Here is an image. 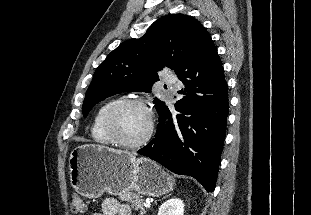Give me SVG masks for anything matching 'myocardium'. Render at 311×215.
I'll return each instance as SVG.
<instances>
[{"label":"myocardium","instance_id":"f54148a6","mask_svg":"<svg viewBox=\"0 0 311 215\" xmlns=\"http://www.w3.org/2000/svg\"><path fill=\"white\" fill-rule=\"evenodd\" d=\"M128 106H139L146 110L148 114V129L143 138L136 142H128L124 140L118 130L117 121L120 112ZM105 130L113 140V142L119 146L137 149L144 146L152 137L154 130V122L151 108L147 102L141 98H126L116 102L107 112L104 121Z\"/></svg>","mask_w":311,"mask_h":215}]
</instances>
